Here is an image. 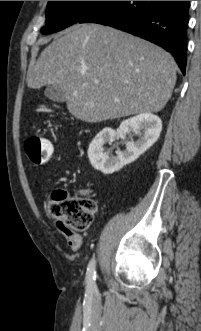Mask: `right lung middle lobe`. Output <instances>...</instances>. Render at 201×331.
<instances>
[{
    "label": "right lung middle lobe",
    "instance_id": "obj_1",
    "mask_svg": "<svg viewBox=\"0 0 201 331\" xmlns=\"http://www.w3.org/2000/svg\"><path fill=\"white\" fill-rule=\"evenodd\" d=\"M105 1H49L46 10V26L42 33L60 31L82 19Z\"/></svg>",
    "mask_w": 201,
    "mask_h": 331
}]
</instances>
